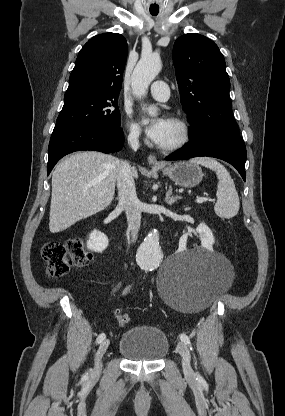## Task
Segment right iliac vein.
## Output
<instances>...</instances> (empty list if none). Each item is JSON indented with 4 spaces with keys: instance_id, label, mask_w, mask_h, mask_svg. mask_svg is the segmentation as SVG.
I'll use <instances>...</instances> for the list:
<instances>
[{
    "instance_id": "1",
    "label": "right iliac vein",
    "mask_w": 285,
    "mask_h": 416,
    "mask_svg": "<svg viewBox=\"0 0 285 416\" xmlns=\"http://www.w3.org/2000/svg\"><path fill=\"white\" fill-rule=\"evenodd\" d=\"M109 345H110V340L105 339L104 341H102V343L98 347V350L95 354V359H94L95 363H94V368H93V375H99V373L101 372L102 370L101 359L103 355L105 354L106 350L108 349Z\"/></svg>"
}]
</instances>
